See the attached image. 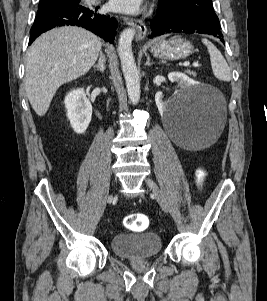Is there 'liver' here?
<instances>
[{
  "label": "liver",
  "instance_id": "liver-1",
  "mask_svg": "<svg viewBox=\"0 0 267 301\" xmlns=\"http://www.w3.org/2000/svg\"><path fill=\"white\" fill-rule=\"evenodd\" d=\"M101 39L80 27H59L38 37L27 53L25 89L38 116H44L58 88L85 75L97 60Z\"/></svg>",
  "mask_w": 267,
  "mask_h": 301
}]
</instances>
